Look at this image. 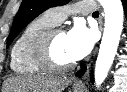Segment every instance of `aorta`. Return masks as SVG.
Segmentation results:
<instances>
[{
	"mask_svg": "<svg viewBox=\"0 0 127 92\" xmlns=\"http://www.w3.org/2000/svg\"><path fill=\"white\" fill-rule=\"evenodd\" d=\"M105 13L104 33L95 65V84L99 87L106 79L123 29V6L121 0H99Z\"/></svg>",
	"mask_w": 127,
	"mask_h": 92,
	"instance_id": "obj_1",
	"label": "aorta"
}]
</instances>
